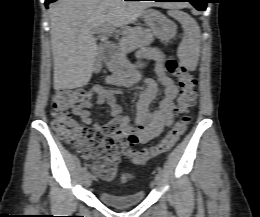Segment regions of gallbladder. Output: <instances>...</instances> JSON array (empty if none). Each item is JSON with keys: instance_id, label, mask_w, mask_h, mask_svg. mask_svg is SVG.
I'll use <instances>...</instances> for the list:
<instances>
[{"instance_id": "1", "label": "gallbladder", "mask_w": 260, "mask_h": 217, "mask_svg": "<svg viewBox=\"0 0 260 217\" xmlns=\"http://www.w3.org/2000/svg\"><path fill=\"white\" fill-rule=\"evenodd\" d=\"M101 68H102V54L97 53L95 63H94V67H93V71L95 73H99Z\"/></svg>"}]
</instances>
